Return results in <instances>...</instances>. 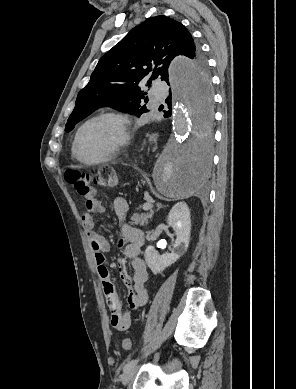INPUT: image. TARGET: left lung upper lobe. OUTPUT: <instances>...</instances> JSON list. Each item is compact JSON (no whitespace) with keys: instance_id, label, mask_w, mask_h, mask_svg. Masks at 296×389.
<instances>
[{"instance_id":"obj_1","label":"left lung upper lobe","mask_w":296,"mask_h":389,"mask_svg":"<svg viewBox=\"0 0 296 389\" xmlns=\"http://www.w3.org/2000/svg\"><path fill=\"white\" fill-rule=\"evenodd\" d=\"M178 55L190 58L192 84L210 89L206 60L183 24L160 15L134 27L99 60L89 83L78 93L65 131H71L75 124L101 106L138 117L148 112L145 105L147 92L142 91L138 84L148 79L150 87L156 78L169 83L168 68ZM209 102L210 92L208 100L200 98L202 115L208 122L211 120L206 108ZM206 136L209 139V135Z\"/></svg>"}]
</instances>
